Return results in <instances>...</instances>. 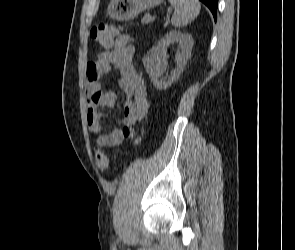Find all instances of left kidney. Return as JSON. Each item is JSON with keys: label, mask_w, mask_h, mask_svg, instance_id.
<instances>
[{"label": "left kidney", "mask_w": 295, "mask_h": 250, "mask_svg": "<svg viewBox=\"0 0 295 250\" xmlns=\"http://www.w3.org/2000/svg\"><path fill=\"white\" fill-rule=\"evenodd\" d=\"M175 42L179 43L181 49V52L178 51L176 54L177 67L171 72L169 77L161 79V75L167 67V47ZM193 44V38L190 34L170 31L161 39L157 46L150 49L143 59V64L149 73L151 81L158 90L168 88L180 76L191 56Z\"/></svg>", "instance_id": "left-kidney-1"}]
</instances>
